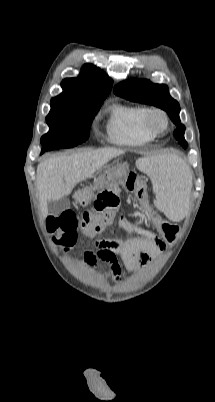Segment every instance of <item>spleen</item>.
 <instances>
[{"instance_id": "1", "label": "spleen", "mask_w": 215, "mask_h": 402, "mask_svg": "<svg viewBox=\"0 0 215 402\" xmlns=\"http://www.w3.org/2000/svg\"><path fill=\"white\" fill-rule=\"evenodd\" d=\"M137 166L151 178L154 188L159 191L154 209L162 210L172 220H184L188 213L186 195H191L192 191L189 178L194 177V170L188 169L174 155L139 159Z\"/></svg>"}]
</instances>
